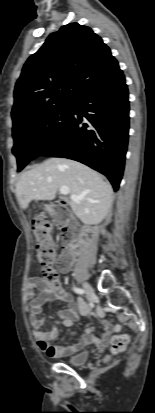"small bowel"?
Masks as SVG:
<instances>
[{"mask_svg": "<svg viewBox=\"0 0 155 413\" xmlns=\"http://www.w3.org/2000/svg\"><path fill=\"white\" fill-rule=\"evenodd\" d=\"M35 288L40 289V293L38 295L34 294ZM25 296L29 300V321L37 347L48 356L53 358L68 357L89 344H100L103 346L107 344L109 336L112 332V326L108 321L102 320V331L99 336L94 335L91 330H88L75 343H71L67 346L51 345L50 342L58 338L59 331L55 326L49 331L41 330V326L45 319V315L43 314V305L46 302L59 300L67 304V307L60 310L58 315L62 319L64 325L72 328L73 330H75L74 320L77 318L78 312L80 315L87 316L88 318L101 316V313H92L90 311V306L83 300H79L76 304L71 295L63 287L50 288L44 284L43 280L38 276L33 277L28 282Z\"/></svg>", "mask_w": 155, "mask_h": 413, "instance_id": "small-bowel-1", "label": "small bowel"}]
</instances>
